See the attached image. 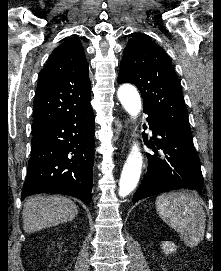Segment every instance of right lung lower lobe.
Wrapping results in <instances>:
<instances>
[{
  "instance_id": "right-lung-lower-lobe-1",
  "label": "right lung lower lobe",
  "mask_w": 221,
  "mask_h": 271,
  "mask_svg": "<svg viewBox=\"0 0 221 271\" xmlns=\"http://www.w3.org/2000/svg\"><path fill=\"white\" fill-rule=\"evenodd\" d=\"M94 124L90 108L32 130L21 200L37 193H57L91 202Z\"/></svg>"
}]
</instances>
